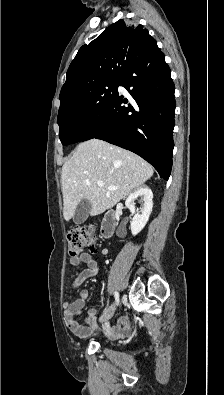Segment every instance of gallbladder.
<instances>
[{
  "mask_svg": "<svg viewBox=\"0 0 224 395\" xmlns=\"http://www.w3.org/2000/svg\"><path fill=\"white\" fill-rule=\"evenodd\" d=\"M90 212H91V203L86 199H82L76 207L73 216V222L76 225H80L84 223L87 220Z\"/></svg>",
  "mask_w": 224,
  "mask_h": 395,
  "instance_id": "obj_1",
  "label": "gallbladder"
}]
</instances>
